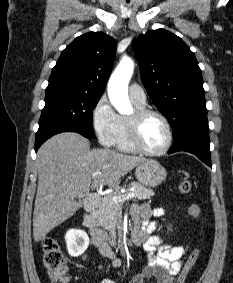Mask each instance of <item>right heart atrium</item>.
<instances>
[{"label":"right heart atrium","instance_id":"1","mask_svg":"<svg viewBox=\"0 0 233 283\" xmlns=\"http://www.w3.org/2000/svg\"><path fill=\"white\" fill-rule=\"evenodd\" d=\"M92 126L99 142L110 147L115 144L120 116L106 97H101L92 110Z\"/></svg>","mask_w":233,"mask_h":283}]
</instances>
